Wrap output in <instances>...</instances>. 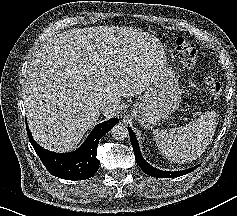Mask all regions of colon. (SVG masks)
<instances>
[{
    "mask_svg": "<svg viewBox=\"0 0 237 216\" xmlns=\"http://www.w3.org/2000/svg\"><path fill=\"white\" fill-rule=\"evenodd\" d=\"M176 49L182 63L189 68H193L197 64V53L193 42L184 37H178L176 40ZM216 93H219L220 87L218 83H214Z\"/></svg>",
    "mask_w": 237,
    "mask_h": 216,
    "instance_id": "colon-1",
    "label": "colon"
}]
</instances>
